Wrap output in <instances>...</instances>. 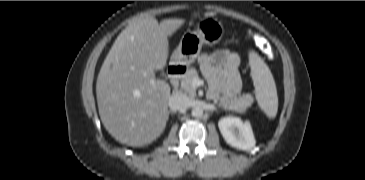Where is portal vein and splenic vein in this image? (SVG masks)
Listing matches in <instances>:
<instances>
[{
  "mask_svg": "<svg viewBox=\"0 0 365 180\" xmlns=\"http://www.w3.org/2000/svg\"><path fill=\"white\" fill-rule=\"evenodd\" d=\"M192 86H193L194 88H196V87H198V86H199V79H198V78H195V79L193 80V82H192Z\"/></svg>",
  "mask_w": 365,
  "mask_h": 180,
  "instance_id": "obj_1",
  "label": "portal vein and splenic vein"
}]
</instances>
